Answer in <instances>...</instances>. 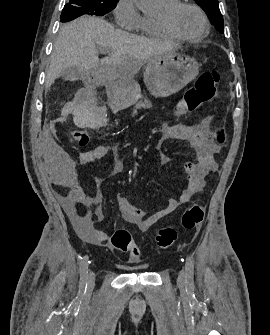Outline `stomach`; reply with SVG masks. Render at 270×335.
<instances>
[{
  "instance_id": "obj_1",
  "label": "stomach",
  "mask_w": 270,
  "mask_h": 335,
  "mask_svg": "<svg viewBox=\"0 0 270 335\" xmlns=\"http://www.w3.org/2000/svg\"><path fill=\"white\" fill-rule=\"evenodd\" d=\"M199 74V64L195 58L187 54H162L154 56L147 64L144 72V82L151 96L168 98L185 88ZM120 90L122 106H132L141 98V90L137 82L127 84L121 80Z\"/></svg>"
}]
</instances>
